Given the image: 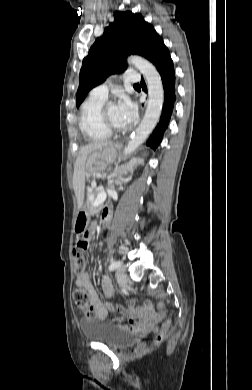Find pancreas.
Returning a JSON list of instances; mask_svg holds the SVG:
<instances>
[{
    "label": "pancreas",
    "mask_w": 252,
    "mask_h": 390,
    "mask_svg": "<svg viewBox=\"0 0 252 390\" xmlns=\"http://www.w3.org/2000/svg\"><path fill=\"white\" fill-rule=\"evenodd\" d=\"M93 203L94 202H92L90 200V197H88V195H87V205H89V212H90L92 217H95L96 214L99 212V209H100L101 205L94 206Z\"/></svg>",
    "instance_id": "cf45deb5"
}]
</instances>
